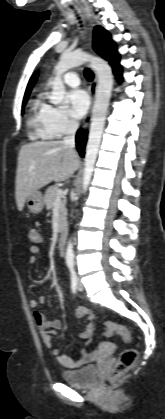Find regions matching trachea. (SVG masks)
<instances>
[{"label": "trachea", "mask_w": 165, "mask_h": 419, "mask_svg": "<svg viewBox=\"0 0 165 419\" xmlns=\"http://www.w3.org/2000/svg\"><path fill=\"white\" fill-rule=\"evenodd\" d=\"M84 75H85V78H86L88 81H92V80H93V78H94V74H93V72H92L89 68H86V69L84 70Z\"/></svg>", "instance_id": "3493384b"}]
</instances>
